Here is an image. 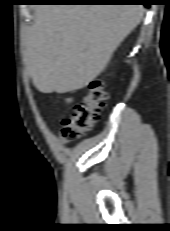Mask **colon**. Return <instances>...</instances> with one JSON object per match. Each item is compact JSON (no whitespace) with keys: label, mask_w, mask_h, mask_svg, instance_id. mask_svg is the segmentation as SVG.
<instances>
[{"label":"colon","mask_w":170,"mask_h":231,"mask_svg":"<svg viewBox=\"0 0 170 231\" xmlns=\"http://www.w3.org/2000/svg\"><path fill=\"white\" fill-rule=\"evenodd\" d=\"M108 94L101 80L92 81L85 96L77 103L71 116L62 122L61 135L73 140L86 135L98 121Z\"/></svg>","instance_id":"obj_1"}]
</instances>
